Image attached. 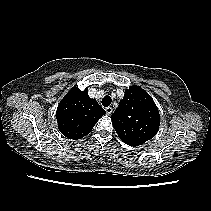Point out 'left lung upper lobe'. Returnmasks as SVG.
<instances>
[{
	"instance_id": "left-lung-upper-lobe-1",
	"label": "left lung upper lobe",
	"mask_w": 211,
	"mask_h": 211,
	"mask_svg": "<svg viewBox=\"0 0 211 211\" xmlns=\"http://www.w3.org/2000/svg\"><path fill=\"white\" fill-rule=\"evenodd\" d=\"M111 119L119 138L133 147L154 137L160 125L157 106L139 86H131L125 91V96Z\"/></svg>"
}]
</instances>
